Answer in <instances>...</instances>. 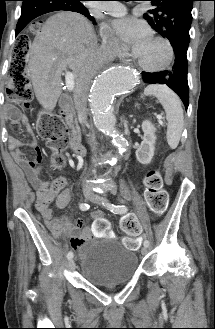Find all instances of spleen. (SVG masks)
Segmentation results:
<instances>
[{"mask_svg":"<svg viewBox=\"0 0 215 329\" xmlns=\"http://www.w3.org/2000/svg\"><path fill=\"white\" fill-rule=\"evenodd\" d=\"M144 94L156 97L163 106L168 121L167 142L172 149H175L179 144L184 127L183 109L179 97L167 86L157 84L147 86Z\"/></svg>","mask_w":215,"mask_h":329,"instance_id":"3e777b00","label":"spleen"}]
</instances>
